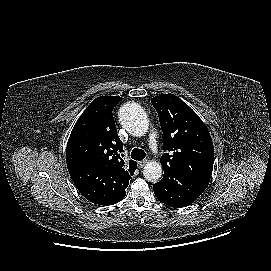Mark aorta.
I'll return each mask as SVG.
<instances>
[{"instance_id": "aorta-1", "label": "aorta", "mask_w": 271, "mask_h": 271, "mask_svg": "<svg viewBox=\"0 0 271 271\" xmlns=\"http://www.w3.org/2000/svg\"><path fill=\"white\" fill-rule=\"evenodd\" d=\"M119 121L126 131L136 137L148 131V119L145 111L137 103H125L119 111ZM162 175V166L157 161L148 162L143 169V176L149 182H156Z\"/></svg>"}]
</instances>
